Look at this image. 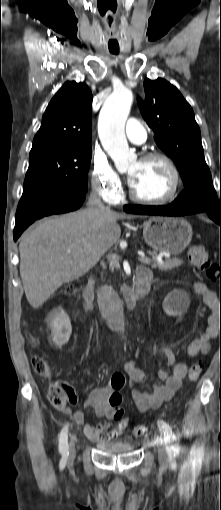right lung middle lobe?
Segmentation results:
<instances>
[{
	"instance_id": "1",
	"label": "right lung middle lobe",
	"mask_w": 221,
	"mask_h": 510,
	"mask_svg": "<svg viewBox=\"0 0 221 510\" xmlns=\"http://www.w3.org/2000/svg\"><path fill=\"white\" fill-rule=\"evenodd\" d=\"M91 157V145L30 156L17 211L31 216L85 194Z\"/></svg>"
}]
</instances>
